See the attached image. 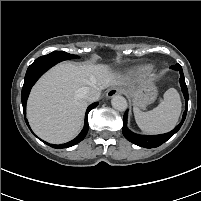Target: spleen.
<instances>
[{
  "instance_id": "3e777b00",
  "label": "spleen",
  "mask_w": 201,
  "mask_h": 201,
  "mask_svg": "<svg viewBox=\"0 0 201 201\" xmlns=\"http://www.w3.org/2000/svg\"><path fill=\"white\" fill-rule=\"evenodd\" d=\"M134 116L137 125L147 133H165L172 130L181 113V100L176 89H168L158 106L153 110L143 112L134 106Z\"/></svg>"
}]
</instances>
